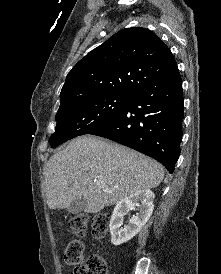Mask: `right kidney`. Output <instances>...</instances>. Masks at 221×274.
<instances>
[{
    "mask_svg": "<svg viewBox=\"0 0 221 274\" xmlns=\"http://www.w3.org/2000/svg\"><path fill=\"white\" fill-rule=\"evenodd\" d=\"M154 198V193L150 189H145L137 191L117 203L109 224L113 245L118 246L129 241L140 231L152 215ZM137 206H139V212L133 215L129 224L123 228L124 216Z\"/></svg>",
    "mask_w": 221,
    "mask_h": 274,
    "instance_id": "1",
    "label": "right kidney"
}]
</instances>
